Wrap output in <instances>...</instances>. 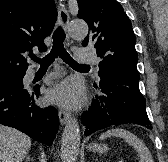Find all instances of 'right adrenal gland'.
<instances>
[{"label":"right adrenal gland","instance_id":"2a0ac1e0","mask_svg":"<svg viewBox=\"0 0 168 162\" xmlns=\"http://www.w3.org/2000/svg\"><path fill=\"white\" fill-rule=\"evenodd\" d=\"M25 162H30V156L26 157V161Z\"/></svg>","mask_w":168,"mask_h":162}]
</instances>
